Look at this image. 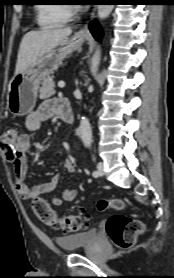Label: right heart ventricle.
Returning <instances> with one entry per match:
<instances>
[{"instance_id": "e07e8e85", "label": "right heart ventricle", "mask_w": 174, "mask_h": 278, "mask_svg": "<svg viewBox=\"0 0 174 278\" xmlns=\"http://www.w3.org/2000/svg\"><path fill=\"white\" fill-rule=\"evenodd\" d=\"M71 18L63 4H39L36 7V19L41 29H53L66 24Z\"/></svg>"}]
</instances>
